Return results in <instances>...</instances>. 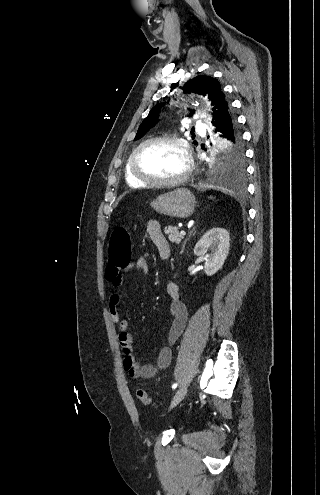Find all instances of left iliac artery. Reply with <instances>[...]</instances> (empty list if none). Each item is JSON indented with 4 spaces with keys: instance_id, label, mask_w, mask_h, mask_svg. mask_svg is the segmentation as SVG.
I'll return each instance as SVG.
<instances>
[{
    "instance_id": "left-iliac-artery-1",
    "label": "left iliac artery",
    "mask_w": 320,
    "mask_h": 495,
    "mask_svg": "<svg viewBox=\"0 0 320 495\" xmlns=\"http://www.w3.org/2000/svg\"><path fill=\"white\" fill-rule=\"evenodd\" d=\"M176 387H177V383H174V384L172 385V388H173V389H175Z\"/></svg>"
}]
</instances>
